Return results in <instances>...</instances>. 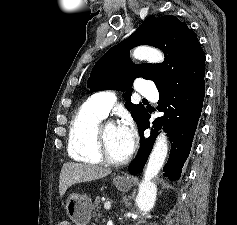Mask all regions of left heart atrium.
I'll use <instances>...</instances> for the list:
<instances>
[{"mask_svg": "<svg viewBox=\"0 0 237 225\" xmlns=\"http://www.w3.org/2000/svg\"><path fill=\"white\" fill-rule=\"evenodd\" d=\"M118 131L122 140L123 151L128 157L134 150L136 144V130L130 118H126L118 126Z\"/></svg>", "mask_w": 237, "mask_h": 225, "instance_id": "obj_1", "label": "left heart atrium"}]
</instances>
